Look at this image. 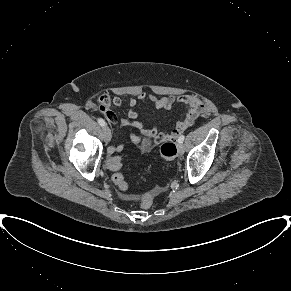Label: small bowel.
Wrapping results in <instances>:
<instances>
[{
    "label": "small bowel",
    "instance_id": "obj_1",
    "mask_svg": "<svg viewBox=\"0 0 291 291\" xmlns=\"http://www.w3.org/2000/svg\"><path fill=\"white\" fill-rule=\"evenodd\" d=\"M149 101L156 109L170 110L175 103H181L186 106L187 112L183 119H181L176 127L170 132H161L157 128L152 130H146L144 123L140 121L138 113L135 111V107L138 102ZM99 109L106 116L111 123L120 122L123 126H129L131 128L140 130L142 134L148 138L154 139L159 142L175 141L178 136L187 128L193 125L196 119L205 111V105L203 101L195 95L185 94L179 97L165 96L157 97L153 94L146 92H140L135 97H132L128 102V111L125 117L117 118L113 112L111 106L120 107L122 100L118 96L110 97L106 94L99 96ZM129 138L133 143H139L141 137L130 133ZM123 149V144L112 145L108 148V154L113 155L120 152ZM125 199H134L135 197L130 194H124Z\"/></svg>",
    "mask_w": 291,
    "mask_h": 291
}]
</instances>
